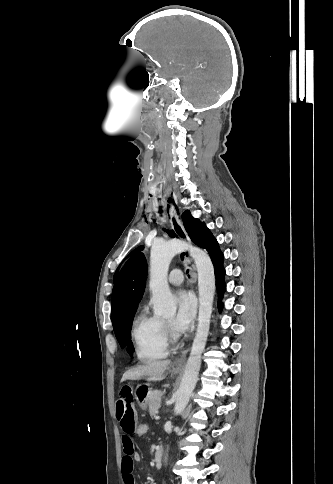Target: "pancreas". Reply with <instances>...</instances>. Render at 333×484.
I'll return each mask as SVG.
<instances>
[{
  "mask_svg": "<svg viewBox=\"0 0 333 484\" xmlns=\"http://www.w3.org/2000/svg\"><path fill=\"white\" fill-rule=\"evenodd\" d=\"M162 396H163V392L160 390H156L150 394L149 413L152 417H155L157 414V410L159 409L161 404Z\"/></svg>",
  "mask_w": 333,
  "mask_h": 484,
  "instance_id": "1",
  "label": "pancreas"
}]
</instances>
